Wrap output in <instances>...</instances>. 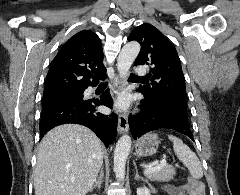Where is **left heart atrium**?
<instances>
[{"label":"left heart atrium","mask_w":240,"mask_h":195,"mask_svg":"<svg viewBox=\"0 0 240 195\" xmlns=\"http://www.w3.org/2000/svg\"><path fill=\"white\" fill-rule=\"evenodd\" d=\"M129 105L128 97L125 94H121L116 101V108L118 110H125Z\"/></svg>","instance_id":"39dd6f15"}]
</instances>
